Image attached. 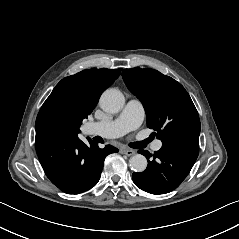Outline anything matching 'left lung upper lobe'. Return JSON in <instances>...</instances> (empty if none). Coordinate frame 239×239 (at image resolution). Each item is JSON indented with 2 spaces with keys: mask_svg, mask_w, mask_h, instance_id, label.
<instances>
[{
  "mask_svg": "<svg viewBox=\"0 0 239 239\" xmlns=\"http://www.w3.org/2000/svg\"><path fill=\"white\" fill-rule=\"evenodd\" d=\"M122 76L144 106L147 126L162 143L180 138L199 140V115L180 83L154 69H124Z\"/></svg>",
  "mask_w": 239,
  "mask_h": 239,
  "instance_id": "5c2ea615",
  "label": "left lung upper lobe"
}]
</instances>
